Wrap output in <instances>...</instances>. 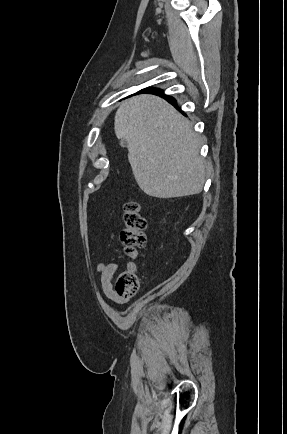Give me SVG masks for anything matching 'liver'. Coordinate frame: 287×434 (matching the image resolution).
<instances>
[{"label":"liver","instance_id":"1","mask_svg":"<svg viewBox=\"0 0 287 434\" xmlns=\"http://www.w3.org/2000/svg\"><path fill=\"white\" fill-rule=\"evenodd\" d=\"M125 139L140 189L157 198L198 194L205 182L199 138L192 124L164 99L139 95L124 101L114 119Z\"/></svg>","mask_w":287,"mask_h":434}]
</instances>
